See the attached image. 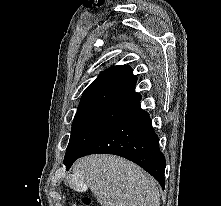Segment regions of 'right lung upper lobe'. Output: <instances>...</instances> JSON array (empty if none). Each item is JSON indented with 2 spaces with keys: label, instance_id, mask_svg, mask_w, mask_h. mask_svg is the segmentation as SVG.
<instances>
[{
  "label": "right lung upper lobe",
  "instance_id": "1",
  "mask_svg": "<svg viewBox=\"0 0 221 206\" xmlns=\"http://www.w3.org/2000/svg\"><path fill=\"white\" fill-rule=\"evenodd\" d=\"M136 77L127 65L113 66L102 72L83 92L79 108L115 106L129 108L141 100L135 93Z\"/></svg>",
  "mask_w": 221,
  "mask_h": 206
}]
</instances>
